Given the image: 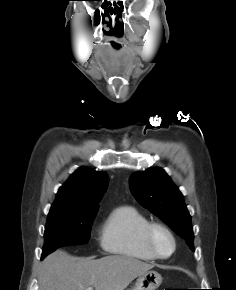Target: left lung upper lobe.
Segmentation results:
<instances>
[{
	"label": "left lung upper lobe",
	"mask_w": 236,
	"mask_h": 290,
	"mask_svg": "<svg viewBox=\"0 0 236 290\" xmlns=\"http://www.w3.org/2000/svg\"><path fill=\"white\" fill-rule=\"evenodd\" d=\"M130 188L141 205L158 216L194 250L191 217L183 195L163 169L134 172L130 177Z\"/></svg>",
	"instance_id": "1"
}]
</instances>
